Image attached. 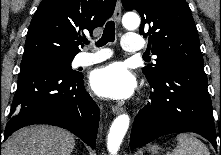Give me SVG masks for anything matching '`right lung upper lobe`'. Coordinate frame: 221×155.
<instances>
[{"label":"right lung upper lobe","instance_id":"right-lung-upper-lobe-1","mask_svg":"<svg viewBox=\"0 0 221 155\" xmlns=\"http://www.w3.org/2000/svg\"><path fill=\"white\" fill-rule=\"evenodd\" d=\"M115 4L116 0H42L30 23L23 57H74L80 51L83 31L92 34L103 26Z\"/></svg>","mask_w":221,"mask_h":155}]
</instances>
